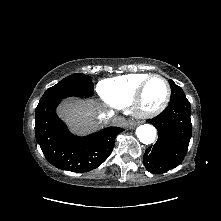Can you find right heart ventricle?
I'll return each mask as SVG.
<instances>
[{"label":"right heart ventricle","mask_w":221,"mask_h":221,"mask_svg":"<svg viewBox=\"0 0 221 221\" xmlns=\"http://www.w3.org/2000/svg\"><path fill=\"white\" fill-rule=\"evenodd\" d=\"M149 74H126L102 80L98 84V92L103 100L114 108L130 105L139 85Z\"/></svg>","instance_id":"obj_1"}]
</instances>
